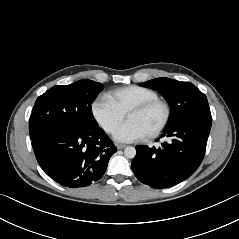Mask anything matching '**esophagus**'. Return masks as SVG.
Here are the masks:
<instances>
[{"label": "esophagus", "instance_id": "obj_1", "mask_svg": "<svg viewBox=\"0 0 239 239\" xmlns=\"http://www.w3.org/2000/svg\"><path fill=\"white\" fill-rule=\"evenodd\" d=\"M117 149H123L125 148V145L123 144H116Z\"/></svg>", "mask_w": 239, "mask_h": 239}]
</instances>
